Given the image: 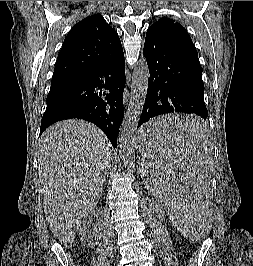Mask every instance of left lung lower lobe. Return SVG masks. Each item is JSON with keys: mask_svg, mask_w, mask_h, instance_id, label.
Here are the masks:
<instances>
[{"mask_svg": "<svg viewBox=\"0 0 253 266\" xmlns=\"http://www.w3.org/2000/svg\"><path fill=\"white\" fill-rule=\"evenodd\" d=\"M143 54L150 80L138 127L143 125L146 139H194L202 135L205 128L202 119L207 118L208 111L202 68L193 42L160 30L150 31L146 34ZM174 112L196 114L202 119L160 125L146 123L155 116Z\"/></svg>", "mask_w": 253, "mask_h": 266, "instance_id": "0a47b994", "label": "left lung lower lobe"}]
</instances>
